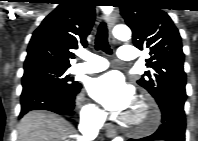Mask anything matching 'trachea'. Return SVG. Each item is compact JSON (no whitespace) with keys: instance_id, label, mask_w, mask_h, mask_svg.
<instances>
[{"instance_id":"1","label":"trachea","mask_w":198,"mask_h":141,"mask_svg":"<svg viewBox=\"0 0 198 141\" xmlns=\"http://www.w3.org/2000/svg\"><path fill=\"white\" fill-rule=\"evenodd\" d=\"M107 26L104 21L99 25L98 32L95 39V48L96 50H102L107 54H112V50L108 44L107 39Z\"/></svg>"}]
</instances>
